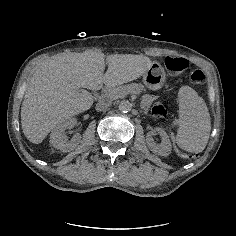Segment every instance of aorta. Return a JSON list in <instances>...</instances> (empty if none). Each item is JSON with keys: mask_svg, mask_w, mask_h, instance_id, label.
<instances>
[{"mask_svg": "<svg viewBox=\"0 0 236 236\" xmlns=\"http://www.w3.org/2000/svg\"><path fill=\"white\" fill-rule=\"evenodd\" d=\"M131 108H132V104L128 100H122L118 105V109L122 113L129 112Z\"/></svg>", "mask_w": 236, "mask_h": 236, "instance_id": "1", "label": "aorta"}]
</instances>
